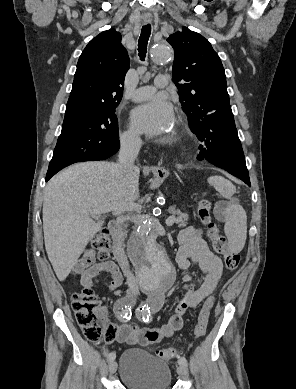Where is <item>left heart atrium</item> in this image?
I'll return each instance as SVG.
<instances>
[{"label":"left heart atrium","instance_id":"obj_1","mask_svg":"<svg viewBox=\"0 0 296 389\" xmlns=\"http://www.w3.org/2000/svg\"><path fill=\"white\" fill-rule=\"evenodd\" d=\"M173 119L172 105L164 97H155L140 104L130 113L132 128L141 134L159 135L167 132Z\"/></svg>","mask_w":296,"mask_h":389}]
</instances>
